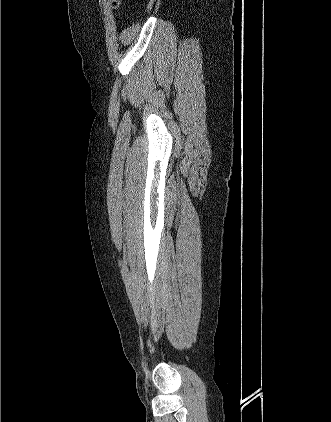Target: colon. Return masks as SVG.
<instances>
[{"label": "colon", "mask_w": 331, "mask_h": 422, "mask_svg": "<svg viewBox=\"0 0 331 422\" xmlns=\"http://www.w3.org/2000/svg\"><path fill=\"white\" fill-rule=\"evenodd\" d=\"M122 2L123 0H112V5L117 8L121 6Z\"/></svg>", "instance_id": "colon-1"}]
</instances>
